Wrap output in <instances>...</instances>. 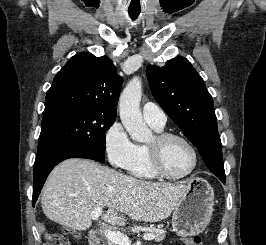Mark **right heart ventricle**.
<instances>
[{"instance_id": "e07e8e85", "label": "right heart ventricle", "mask_w": 266, "mask_h": 245, "mask_svg": "<svg viewBox=\"0 0 266 245\" xmlns=\"http://www.w3.org/2000/svg\"><path fill=\"white\" fill-rule=\"evenodd\" d=\"M156 131L160 132L164 127L150 124ZM131 174L143 181H155L158 177L154 174L148 160L146 146H139V152L135 164L131 169Z\"/></svg>"}]
</instances>
